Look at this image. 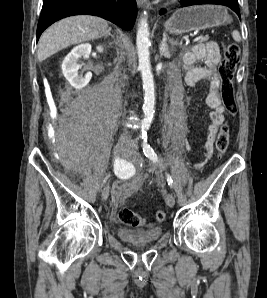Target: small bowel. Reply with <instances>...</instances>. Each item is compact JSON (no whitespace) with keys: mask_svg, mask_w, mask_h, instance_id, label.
Returning a JSON list of instances; mask_svg holds the SVG:
<instances>
[{"mask_svg":"<svg viewBox=\"0 0 267 298\" xmlns=\"http://www.w3.org/2000/svg\"><path fill=\"white\" fill-rule=\"evenodd\" d=\"M221 55L219 47L215 42H206L196 45L191 51L183 57V68L185 71V82L188 86H194L204 79L209 80V93L206 97V104L211 108L209 114L210 124L207 131V139L204 145L205 159L196 164L202 167L212 156L213 144L218 133L219 126L224 121L226 106L219 96L220 76L217 73V67L220 63ZM197 61H204V67L195 66ZM180 113V105L174 102L172 114ZM138 187V182L133 181L129 185L117 190L121 201L128 198Z\"/></svg>","mask_w":267,"mask_h":298,"instance_id":"1","label":"small bowel"}]
</instances>
